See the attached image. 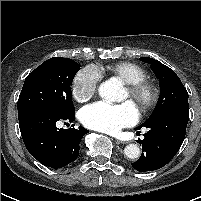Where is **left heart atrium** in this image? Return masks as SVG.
Returning a JSON list of instances; mask_svg holds the SVG:
<instances>
[{
	"instance_id": "1",
	"label": "left heart atrium",
	"mask_w": 201,
	"mask_h": 201,
	"mask_svg": "<svg viewBox=\"0 0 201 201\" xmlns=\"http://www.w3.org/2000/svg\"><path fill=\"white\" fill-rule=\"evenodd\" d=\"M82 123L93 130L114 134L138 120V111L131 101L120 104L96 102L80 112Z\"/></svg>"
}]
</instances>
